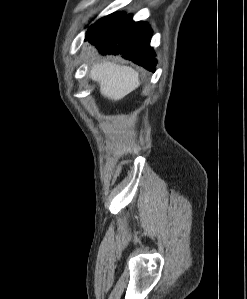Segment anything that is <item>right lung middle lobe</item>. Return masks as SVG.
<instances>
[{
  "label": "right lung middle lobe",
  "mask_w": 247,
  "mask_h": 299,
  "mask_svg": "<svg viewBox=\"0 0 247 299\" xmlns=\"http://www.w3.org/2000/svg\"><path fill=\"white\" fill-rule=\"evenodd\" d=\"M124 16L125 13H114L101 18L88 29L87 35H94L112 26L113 24L119 22Z\"/></svg>",
  "instance_id": "right-lung-middle-lobe-1"
}]
</instances>
